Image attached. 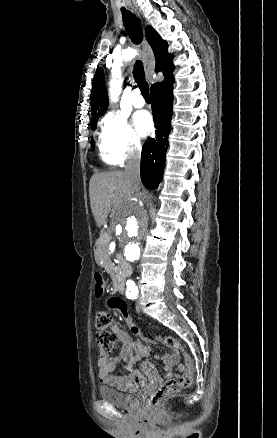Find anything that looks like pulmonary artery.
Instances as JSON below:
<instances>
[{"instance_id": "e3ab8cb5", "label": "pulmonary artery", "mask_w": 277, "mask_h": 438, "mask_svg": "<svg viewBox=\"0 0 277 438\" xmlns=\"http://www.w3.org/2000/svg\"><path fill=\"white\" fill-rule=\"evenodd\" d=\"M132 104L135 108H143L145 106V100L140 97L144 95V88L143 87H133L132 89Z\"/></svg>"}]
</instances>
